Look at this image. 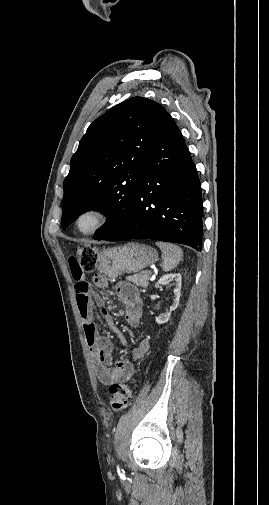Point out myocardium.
Returning <instances> with one entry per match:
<instances>
[{
    "label": "myocardium",
    "mask_w": 269,
    "mask_h": 505,
    "mask_svg": "<svg viewBox=\"0 0 269 505\" xmlns=\"http://www.w3.org/2000/svg\"><path fill=\"white\" fill-rule=\"evenodd\" d=\"M86 216H94L96 221L89 229H81L80 222ZM111 210L102 204H91L83 207L75 216L73 225L75 230L84 236H89L103 229L111 220Z\"/></svg>",
    "instance_id": "f54148a6"
}]
</instances>
